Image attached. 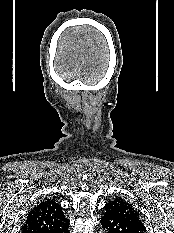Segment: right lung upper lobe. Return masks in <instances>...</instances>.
<instances>
[{"label":"right lung upper lobe","mask_w":174,"mask_h":233,"mask_svg":"<svg viewBox=\"0 0 174 233\" xmlns=\"http://www.w3.org/2000/svg\"><path fill=\"white\" fill-rule=\"evenodd\" d=\"M69 223L55 200L45 199L28 214L22 233H50Z\"/></svg>","instance_id":"1"}]
</instances>
